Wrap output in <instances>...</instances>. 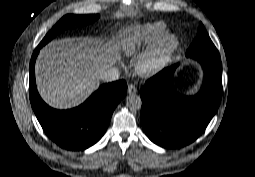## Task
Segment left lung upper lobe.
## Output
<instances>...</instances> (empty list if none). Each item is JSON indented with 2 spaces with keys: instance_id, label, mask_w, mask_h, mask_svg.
Instances as JSON below:
<instances>
[{
  "instance_id": "obj_1",
  "label": "left lung upper lobe",
  "mask_w": 255,
  "mask_h": 177,
  "mask_svg": "<svg viewBox=\"0 0 255 177\" xmlns=\"http://www.w3.org/2000/svg\"><path fill=\"white\" fill-rule=\"evenodd\" d=\"M201 54H219L202 23L199 25L197 36L187 50L186 56L192 57Z\"/></svg>"
}]
</instances>
